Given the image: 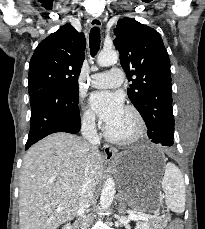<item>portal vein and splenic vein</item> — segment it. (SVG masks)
Here are the masks:
<instances>
[{
  "label": "portal vein and splenic vein",
  "instance_id": "1",
  "mask_svg": "<svg viewBox=\"0 0 205 229\" xmlns=\"http://www.w3.org/2000/svg\"><path fill=\"white\" fill-rule=\"evenodd\" d=\"M141 215H145V214H141ZM141 215H138V216L134 215V216H130V217L135 218V219H139ZM146 216H148V215H146ZM151 217H154V216H151Z\"/></svg>",
  "mask_w": 205,
  "mask_h": 229
}]
</instances>
